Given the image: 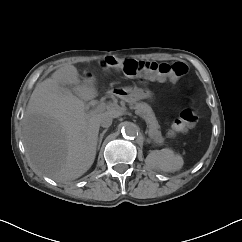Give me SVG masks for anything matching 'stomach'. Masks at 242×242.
<instances>
[{"instance_id": "stomach-1", "label": "stomach", "mask_w": 242, "mask_h": 242, "mask_svg": "<svg viewBox=\"0 0 242 242\" xmlns=\"http://www.w3.org/2000/svg\"><path fill=\"white\" fill-rule=\"evenodd\" d=\"M112 93L121 98L122 100L135 103L142 99H151L153 97V93L151 90L147 88H139L135 87H125L122 89L112 90Z\"/></svg>"}]
</instances>
